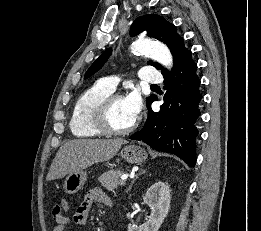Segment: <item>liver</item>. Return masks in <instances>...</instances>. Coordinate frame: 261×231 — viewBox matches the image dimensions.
Segmentation results:
<instances>
[{"instance_id":"liver-1","label":"liver","mask_w":261,"mask_h":231,"mask_svg":"<svg viewBox=\"0 0 261 231\" xmlns=\"http://www.w3.org/2000/svg\"><path fill=\"white\" fill-rule=\"evenodd\" d=\"M127 140L118 139H78L63 144L47 174L46 180L60 179L74 172L86 169L94 163L111 159Z\"/></svg>"}]
</instances>
